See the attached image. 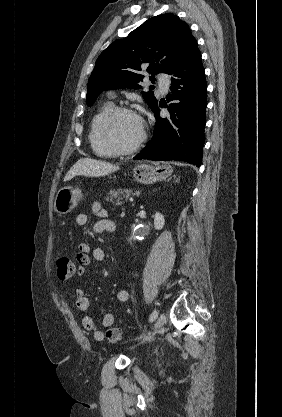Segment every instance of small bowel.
I'll return each mask as SVG.
<instances>
[{
	"instance_id": "obj_1",
	"label": "small bowel",
	"mask_w": 282,
	"mask_h": 417,
	"mask_svg": "<svg viewBox=\"0 0 282 417\" xmlns=\"http://www.w3.org/2000/svg\"><path fill=\"white\" fill-rule=\"evenodd\" d=\"M92 213L101 219L93 225V232L96 234L101 233H114L116 231V223L108 218V213L105 206L95 201L91 207ZM90 222V216L87 213H79L76 216V223L79 226L85 227ZM77 274L83 275L85 267L90 264L92 260L96 262H102L105 260V251L101 247L91 248L86 241H81L78 245V252L76 253ZM75 298L77 308L82 314L80 321L83 328L92 333L93 337L97 341H101L106 338L104 333L93 321V319L87 315L90 309V302L83 289H76ZM116 298L120 303H126L130 299V292L126 288H121L116 293ZM117 316L115 313H107L102 318V326L107 328L108 323H115Z\"/></svg>"
}]
</instances>
